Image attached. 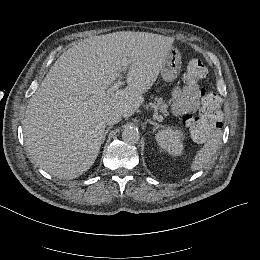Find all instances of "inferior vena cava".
Instances as JSON below:
<instances>
[{"mask_svg":"<svg viewBox=\"0 0 260 260\" xmlns=\"http://www.w3.org/2000/svg\"><path fill=\"white\" fill-rule=\"evenodd\" d=\"M122 115L118 111H111L107 114L105 123L109 126H113L114 124H117L121 120ZM102 128V124H98L96 127V132H100Z\"/></svg>","mask_w":260,"mask_h":260,"instance_id":"1","label":"inferior vena cava"}]
</instances>
